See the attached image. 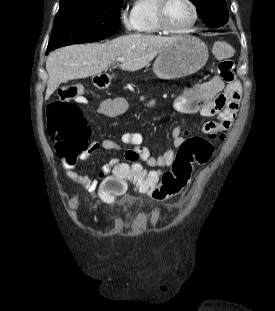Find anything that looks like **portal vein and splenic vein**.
<instances>
[{
	"instance_id": "18ae733b",
	"label": "portal vein and splenic vein",
	"mask_w": 275,
	"mask_h": 311,
	"mask_svg": "<svg viewBox=\"0 0 275 311\" xmlns=\"http://www.w3.org/2000/svg\"><path fill=\"white\" fill-rule=\"evenodd\" d=\"M116 60H117V61H123L124 58L119 57V58H117Z\"/></svg>"
}]
</instances>
